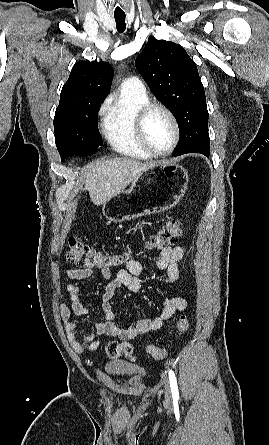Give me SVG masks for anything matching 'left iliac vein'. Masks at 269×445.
Listing matches in <instances>:
<instances>
[{"mask_svg": "<svg viewBox=\"0 0 269 445\" xmlns=\"http://www.w3.org/2000/svg\"><path fill=\"white\" fill-rule=\"evenodd\" d=\"M164 389H165V397L168 400H170L171 399V388H170V384L167 380L165 381Z\"/></svg>", "mask_w": 269, "mask_h": 445, "instance_id": "4c4485c4", "label": "left iliac vein"}]
</instances>
